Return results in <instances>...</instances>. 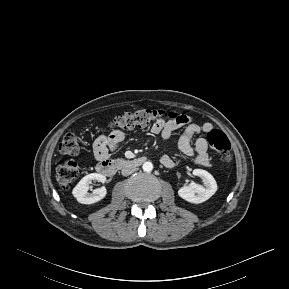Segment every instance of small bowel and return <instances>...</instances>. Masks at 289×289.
Instances as JSON below:
<instances>
[{
	"label": "small bowel",
	"mask_w": 289,
	"mask_h": 289,
	"mask_svg": "<svg viewBox=\"0 0 289 289\" xmlns=\"http://www.w3.org/2000/svg\"><path fill=\"white\" fill-rule=\"evenodd\" d=\"M183 126L186 127L178 142L179 150L184 155L193 157L197 165L211 166V158L208 154L209 143L207 140L208 133L214 129L211 123L198 124L191 117L181 114L176 119L155 122L151 127V132L155 135H160L164 141H168L173 132ZM195 137L197 138L195 139ZM124 138L125 133L123 130H117L108 136L102 135L98 137L93 143L95 158L98 161L107 159L109 151L116 150ZM161 163L167 168L174 166V160L169 155L162 156Z\"/></svg>",
	"instance_id": "1"
}]
</instances>
